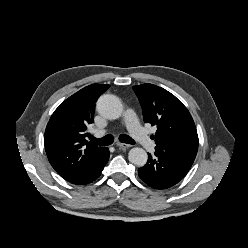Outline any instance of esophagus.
Returning a JSON list of instances; mask_svg holds the SVG:
<instances>
[{
	"label": "esophagus",
	"mask_w": 248,
	"mask_h": 248,
	"mask_svg": "<svg viewBox=\"0 0 248 248\" xmlns=\"http://www.w3.org/2000/svg\"><path fill=\"white\" fill-rule=\"evenodd\" d=\"M116 145H117V147H118L119 149H121V150H125V149H127V148L130 147L129 144L120 143V142L116 143Z\"/></svg>",
	"instance_id": "34e87169"
}]
</instances>
